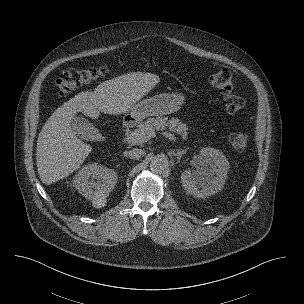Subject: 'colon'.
Wrapping results in <instances>:
<instances>
[{
	"label": "colon",
	"mask_w": 304,
	"mask_h": 304,
	"mask_svg": "<svg viewBox=\"0 0 304 304\" xmlns=\"http://www.w3.org/2000/svg\"><path fill=\"white\" fill-rule=\"evenodd\" d=\"M107 73L106 67L69 69L56 80V88L61 99L74 89L90 84ZM209 83L217 89L223 98L226 111L234 114L245 106L243 97L233 92L232 74L227 69H219L209 77ZM229 143L238 152H243L248 146V135L244 132H233L229 135Z\"/></svg>",
	"instance_id": "colon-1"
}]
</instances>
